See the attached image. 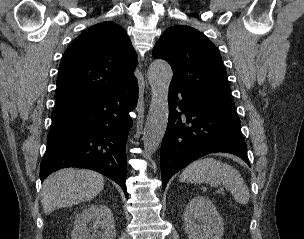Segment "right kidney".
Segmentation results:
<instances>
[{"instance_id": "right-kidney-1", "label": "right kidney", "mask_w": 304, "mask_h": 239, "mask_svg": "<svg viewBox=\"0 0 304 239\" xmlns=\"http://www.w3.org/2000/svg\"><path fill=\"white\" fill-rule=\"evenodd\" d=\"M115 237L113 214L103 204L89 206L77 215L71 233L72 239H115Z\"/></svg>"}]
</instances>
